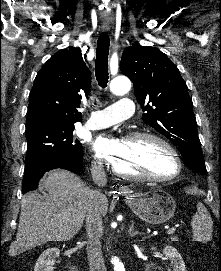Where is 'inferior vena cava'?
<instances>
[{
	"instance_id": "1",
	"label": "inferior vena cava",
	"mask_w": 221,
	"mask_h": 271,
	"mask_svg": "<svg viewBox=\"0 0 221 271\" xmlns=\"http://www.w3.org/2000/svg\"><path fill=\"white\" fill-rule=\"evenodd\" d=\"M94 171H97V185L103 187L107 183L105 177L104 165L102 161H97L92 165ZM105 197L100 189H91L87 213L85 215L87 241V255L90 271H107L102 255L101 237L104 233L103 219L100 211L99 199Z\"/></svg>"
}]
</instances>
